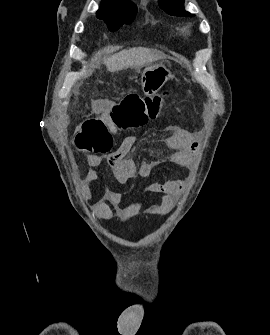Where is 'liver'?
I'll return each mask as SVG.
<instances>
[{"label": "liver", "mask_w": 270, "mask_h": 335, "mask_svg": "<svg viewBox=\"0 0 270 335\" xmlns=\"http://www.w3.org/2000/svg\"><path fill=\"white\" fill-rule=\"evenodd\" d=\"M162 54H154L149 48H129L122 50L118 54H114L111 58H107L104 64L109 72L116 70H124V68H139L154 60H160Z\"/></svg>", "instance_id": "6515ba94"}]
</instances>
